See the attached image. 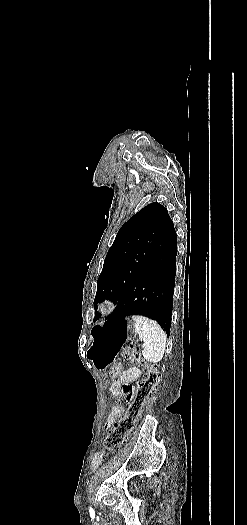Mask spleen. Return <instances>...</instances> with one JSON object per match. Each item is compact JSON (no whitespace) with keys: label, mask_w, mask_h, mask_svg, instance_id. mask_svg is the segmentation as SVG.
<instances>
[{"label":"spleen","mask_w":247,"mask_h":525,"mask_svg":"<svg viewBox=\"0 0 247 525\" xmlns=\"http://www.w3.org/2000/svg\"><path fill=\"white\" fill-rule=\"evenodd\" d=\"M135 323V333L140 341L146 340L142 355L148 363H159L164 357L166 335L156 321L147 317H132Z\"/></svg>","instance_id":"3e777b00"}]
</instances>
